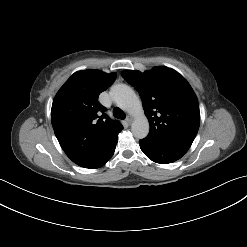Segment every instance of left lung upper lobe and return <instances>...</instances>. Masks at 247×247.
<instances>
[{
    "instance_id": "left-lung-upper-lobe-1",
    "label": "left lung upper lobe",
    "mask_w": 247,
    "mask_h": 247,
    "mask_svg": "<svg viewBox=\"0 0 247 247\" xmlns=\"http://www.w3.org/2000/svg\"><path fill=\"white\" fill-rule=\"evenodd\" d=\"M121 75L142 99L150 125L147 138L189 148L199 129L200 113L197 98L188 82L167 67H155L144 73L125 70Z\"/></svg>"
}]
</instances>
